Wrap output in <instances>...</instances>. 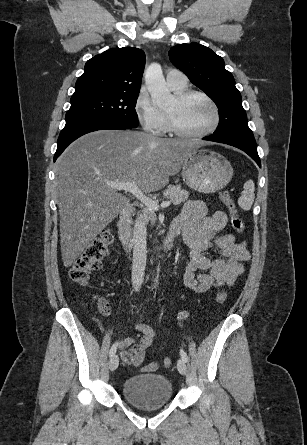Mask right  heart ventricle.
I'll return each instance as SVG.
<instances>
[{"mask_svg":"<svg viewBox=\"0 0 307 445\" xmlns=\"http://www.w3.org/2000/svg\"><path fill=\"white\" fill-rule=\"evenodd\" d=\"M186 88V87H185ZM185 88H181V89H173L176 93L182 92L185 90Z\"/></svg>","mask_w":307,"mask_h":445,"instance_id":"e07e8e85","label":"right heart ventricle"}]
</instances>
